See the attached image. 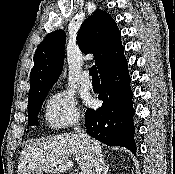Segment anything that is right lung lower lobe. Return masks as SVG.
<instances>
[{"label": "right lung lower lobe", "mask_w": 175, "mask_h": 174, "mask_svg": "<svg viewBox=\"0 0 175 174\" xmlns=\"http://www.w3.org/2000/svg\"><path fill=\"white\" fill-rule=\"evenodd\" d=\"M103 104L86 110L87 133L109 146L126 147L136 152L134 140V108L127 60L124 55L107 65L101 72Z\"/></svg>", "instance_id": "right-lung-lower-lobe-1"}]
</instances>
